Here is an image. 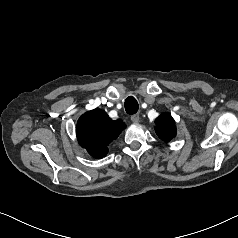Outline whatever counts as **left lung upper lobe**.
<instances>
[{"label": "left lung upper lobe", "mask_w": 238, "mask_h": 238, "mask_svg": "<svg viewBox=\"0 0 238 238\" xmlns=\"http://www.w3.org/2000/svg\"><path fill=\"white\" fill-rule=\"evenodd\" d=\"M155 131L164 142H169L176 135L175 121L168 113H163L155 120Z\"/></svg>", "instance_id": "left-lung-upper-lobe-1"}]
</instances>
